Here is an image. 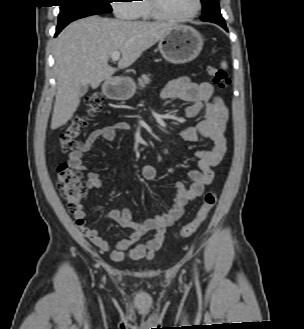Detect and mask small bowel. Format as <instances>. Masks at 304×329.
I'll list each match as a JSON object with an SVG mask.
<instances>
[{"label": "small bowel", "instance_id": "obj_1", "mask_svg": "<svg viewBox=\"0 0 304 329\" xmlns=\"http://www.w3.org/2000/svg\"><path fill=\"white\" fill-rule=\"evenodd\" d=\"M165 99H180L190 102L185 109L187 118H194L204 113V119L196 126L184 127L180 130V137L189 142L206 140L210 146L206 150H198L195 156L197 166L192 169L189 176L192 183L189 187L179 183L175 187V198L170 210L144 222H136L129 208L112 210L107 216L120 226L130 231L128 238L118 240L111 244L105 240L96 229L86 226L85 206L80 204L73 212L75 222L82 234L90 240L102 253L108 254L113 261H122L126 256L133 260L151 259L163 246L167 229L172 226L183 214L186 205L203 194L206 185L211 183L213 168L223 159L227 150L225 137L226 124L229 118L228 109L223 100L215 94L214 87L208 82L196 83L187 78L171 81L164 90ZM131 125L124 121H115L104 127L93 130L81 148L69 154V164L75 169L85 172L87 166L83 162L84 155L99 140L111 141L116 131L130 130ZM142 177L151 181L157 176V169L153 165H144L141 169ZM101 174L88 172L86 186L88 189L101 187ZM154 232L152 239L146 243H137L140 238Z\"/></svg>", "mask_w": 304, "mask_h": 329}]
</instances>
